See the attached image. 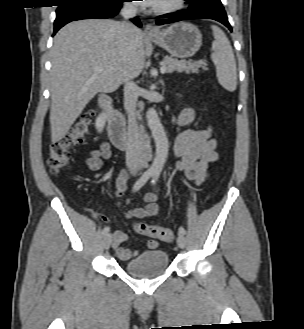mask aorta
I'll return each mask as SVG.
<instances>
[{
	"label": "aorta",
	"mask_w": 304,
	"mask_h": 329,
	"mask_svg": "<svg viewBox=\"0 0 304 329\" xmlns=\"http://www.w3.org/2000/svg\"><path fill=\"white\" fill-rule=\"evenodd\" d=\"M146 117L148 126L152 132V136L156 145V153L151 166V171L161 172L168 156V139L166 137L164 128L160 122L158 114L154 108H150L147 111Z\"/></svg>",
	"instance_id": "aorta-1"
}]
</instances>
